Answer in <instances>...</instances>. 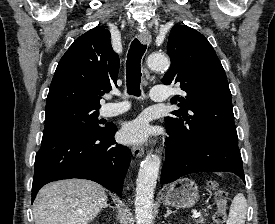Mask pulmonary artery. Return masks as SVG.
<instances>
[{
  "label": "pulmonary artery",
  "mask_w": 275,
  "mask_h": 224,
  "mask_svg": "<svg viewBox=\"0 0 275 224\" xmlns=\"http://www.w3.org/2000/svg\"><path fill=\"white\" fill-rule=\"evenodd\" d=\"M169 97V90L167 87H154L151 90V99L153 101H165ZM128 109L127 102L108 103L104 108L105 116H116Z\"/></svg>",
  "instance_id": "1"
}]
</instances>
